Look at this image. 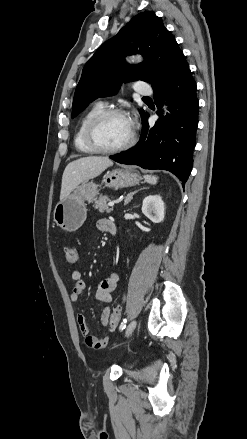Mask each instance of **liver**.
<instances>
[{"label": "liver", "instance_id": "liver-1", "mask_svg": "<svg viewBox=\"0 0 247 439\" xmlns=\"http://www.w3.org/2000/svg\"><path fill=\"white\" fill-rule=\"evenodd\" d=\"M113 165L108 157L88 156L70 162L62 176L60 200L71 194L81 183L100 175Z\"/></svg>", "mask_w": 247, "mask_h": 439}]
</instances>
